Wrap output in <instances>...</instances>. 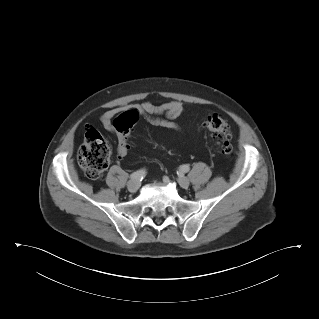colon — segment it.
<instances>
[{"label": "colon", "instance_id": "1", "mask_svg": "<svg viewBox=\"0 0 319 319\" xmlns=\"http://www.w3.org/2000/svg\"><path fill=\"white\" fill-rule=\"evenodd\" d=\"M139 120L135 110H129L119 115L113 125L122 141L127 142L130 132ZM205 131L222 146L224 155L232 153L230 144L232 133L228 122L218 114H211L202 123ZM111 147L108 140L98 131H87L84 142L78 151V161L85 174L92 180H100L108 167Z\"/></svg>", "mask_w": 319, "mask_h": 319}]
</instances>
